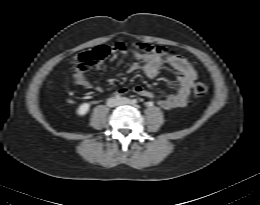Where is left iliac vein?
<instances>
[{
  "label": "left iliac vein",
  "mask_w": 260,
  "mask_h": 205,
  "mask_svg": "<svg viewBox=\"0 0 260 205\" xmlns=\"http://www.w3.org/2000/svg\"><path fill=\"white\" fill-rule=\"evenodd\" d=\"M118 104L119 105H130L131 104V100L128 98H121L118 100Z\"/></svg>",
  "instance_id": "4c4485c4"
}]
</instances>
